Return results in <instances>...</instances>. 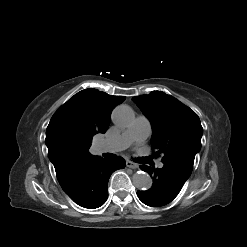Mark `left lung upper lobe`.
I'll use <instances>...</instances> for the list:
<instances>
[{"instance_id": "obj_1", "label": "left lung upper lobe", "mask_w": 247, "mask_h": 247, "mask_svg": "<svg viewBox=\"0 0 247 247\" xmlns=\"http://www.w3.org/2000/svg\"><path fill=\"white\" fill-rule=\"evenodd\" d=\"M152 124L154 156L163 154L162 163L189 177L194 158L201 148L203 128L189 107L160 91L133 98Z\"/></svg>"}]
</instances>
